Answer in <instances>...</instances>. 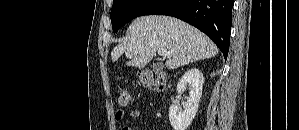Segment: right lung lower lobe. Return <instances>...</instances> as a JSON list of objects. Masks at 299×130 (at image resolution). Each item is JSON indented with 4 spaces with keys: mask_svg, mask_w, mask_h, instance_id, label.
Listing matches in <instances>:
<instances>
[{
    "mask_svg": "<svg viewBox=\"0 0 299 130\" xmlns=\"http://www.w3.org/2000/svg\"><path fill=\"white\" fill-rule=\"evenodd\" d=\"M233 0H152L138 16L169 15L208 35L227 59Z\"/></svg>",
    "mask_w": 299,
    "mask_h": 130,
    "instance_id": "98d812e1",
    "label": "right lung lower lobe"
}]
</instances>
